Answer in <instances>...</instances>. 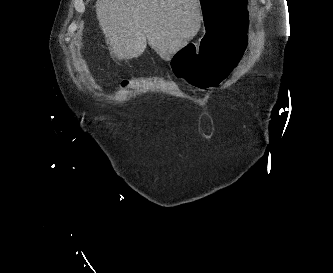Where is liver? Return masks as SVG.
<instances>
[{"instance_id":"6515ba94","label":"liver","mask_w":333,"mask_h":273,"mask_svg":"<svg viewBox=\"0 0 333 273\" xmlns=\"http://www.w3.org/2000/svg\"><path fill=\"white\" fill-rule=\"evenodd\" d=\"M96 15L113 58H137L149 46L165 61L198 33L200 0H97Z\"/></svg>"}]
</instances>
